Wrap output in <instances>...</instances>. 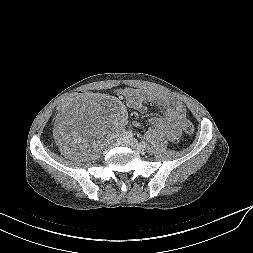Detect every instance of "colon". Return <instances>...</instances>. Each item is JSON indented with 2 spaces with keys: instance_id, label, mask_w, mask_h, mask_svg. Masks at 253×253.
I'll return each instance as SVG.
<instances>
[{
  "instance_id": "obj_1",
  "label": "colon",
  "mask_w": 253,
  "mask_h": 253,
  "mask_svg": "<svg viewBox=\"0 0 253 253\" xmlns=\"http://www.w3.org/2000/svg\"><path fill=\"white\" fill-rule=\"evenodd\" d=\"M90 96H91V91L90 90H80L78 92V97L79 98L90 97ZM76 98H77V93L76 92H69L68 96L65 97V100L62 101L61 103L57 104V109L60 110V111H65L66 108H68L72 104V99H76ZM182 128H183V131L187 135H191V134L194 133V126L188 120H185L183 122Z\"/></svg>"
}]
</instances>
